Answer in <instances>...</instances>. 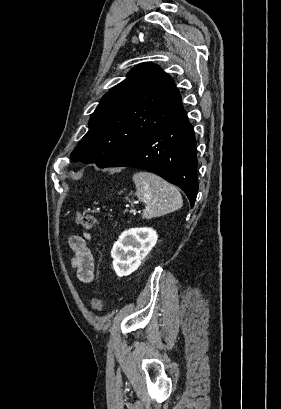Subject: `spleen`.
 <instances>
[{"label": "spleen", "mask_w": 281, "mask_h": 409, "mask_svg": "<svg viewBox=\"0 0 281 409\" xmlns=\"http://www.w3.org/2000/svg\"><path fill=\"white\" fill-rule=\"evenodd\" d=\"M139 200L146 202L143 219L162 217L181 209L183 198L176 186L152 172H136L132 176Z\"/></svg>", "instance_id": "obj_1"}]
</instances>
